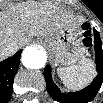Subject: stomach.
Wrapping results in <instances>:
<instances>
[{"label":"stomach","instance_id":"obj_1","mask_svg":"<svg viewBox=\"0 0 103 103\" xmlns=\"http://www.w3.org/2000/svg\"><path fill=\"white\" fill-rule=\"evenodd\" d=\"M86 38L85 29L80 24L77 27L64 28L53 36L45 37V43L57 65L72 66L87 53Z\"/></svg>","mask_w":103,"mask_h":103}]
</instances>
